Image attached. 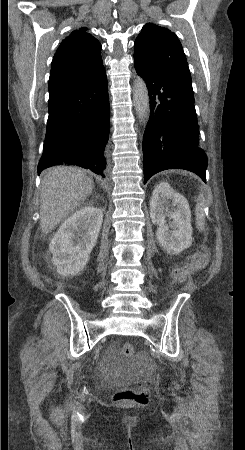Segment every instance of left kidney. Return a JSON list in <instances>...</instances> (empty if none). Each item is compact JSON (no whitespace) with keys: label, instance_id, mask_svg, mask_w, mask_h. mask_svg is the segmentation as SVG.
<instances>
[{"label":"left kidney","instance_id":"obj_1","mask_svg":"<svg viewBox=\"0 0 245 450\" xmlns=\"http://www.w3.org/2000/svg\"><path fill=\"white\" fill-rule=\"evenodd\" d=\"M172 222L167 224L166 217ZM151 221L158 225L157 240L168 254H179L192 244L191 211L187 199L165 182L158 184L150 201Z\"/></svg>","mask_w":245,"mask_h":450}]
</instances>
